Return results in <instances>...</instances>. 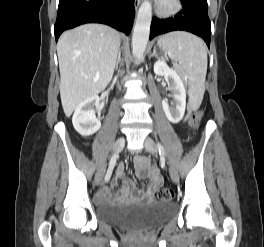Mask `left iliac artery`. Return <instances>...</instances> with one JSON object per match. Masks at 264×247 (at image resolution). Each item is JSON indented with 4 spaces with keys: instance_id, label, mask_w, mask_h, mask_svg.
I'll return each instance as SVG.
<instances>
[{
    "instance_id": "44dca946",
    "label": "left iliac artery",
    "mask_w": 264,
    "mask_h": 247,
    "mask_svg": "<svg viewBox=\"0 0 264 247\" xmlns=\"http://www.w3.org/2000/svg\"><path fill=\"white\" fill-rule=\"evenodd\" d=\"M159 154L166 155V151L161 144H158Z\"/></svg>"
}]
</instances>
